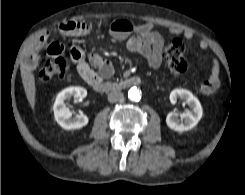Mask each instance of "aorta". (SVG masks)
Instances as JSON below:
<instances>
[{"label": "aorta", "mask_w": 245, "mask_h": 195, "mask_svg": "<svg viewBox=\"0 0 245 195\" xmlns=\"http://www.w3.org/2000/svg\"><path fill=\"white\" fill-rule=\"evenodd\" d=\"M128 98H129L131 101H135V102L140 101L141 95H140L139 90H138L136 87H132V88L129 90V92H128Z\"/></svg>", "instance_id": "1"}]
</instances>
